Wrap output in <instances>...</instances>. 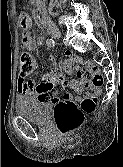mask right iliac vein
<instances>
[{"label": "right iliac vein", "mask_w": 123, "mask_h": 167, "mask_svg": "<svg viewBox=\"0 0 123 167\" xmlns=\"http://www.w3.org/2000/svg\"><path fill=\"white\" fill-rule=\"evenodd\" d=\"M50 34L55 39L61 38V31L57 27H52L50 29Z\"/></svg>", "instance_id": "1"}]
</instances>
